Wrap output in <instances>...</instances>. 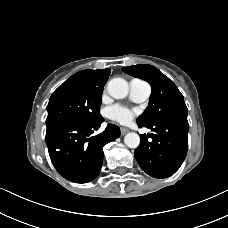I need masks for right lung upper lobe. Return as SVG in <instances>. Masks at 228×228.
I'll return each instance as SVG.
<instances>
[{
	"instance_id": "cb5924a9",
	"label": "right lung upper lobe",
	"mask_w": 228,
	"mask_h": 228,
	"mask_svg": "<svg viewBox=\"0 0 228 228\" xmlns=\"http://www.w3.org/2000/svg\"><path fill=\"white\" fill-rule=\"evenodd\" d=\"M110 75V69L82 70L72 75L69 80L89 89H103Z\"/></svg>"
}]
</instances>
